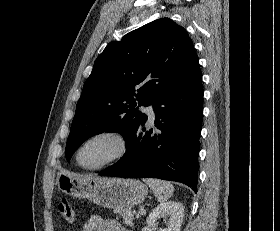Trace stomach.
Masks as SVG:
<instances>
[{
	"mask_svg": "<svg viewBox=\"0 0 280 231\" xmlns=\"http://www.w3.org/2000/svg\"><path fill=\"white\" fill-rule=\"evenodd\" d=\"M56 183L66 195L84 197L102 207L119 209L132 207L144 201L148 187L138 179H122V177H92L78 175L71 171H59Z\"/></svg>",
	"mask_w": 280,
	"mask_h": 231,
	"instance_id": "stomach-1",
	"label": "stomach"
}]
</instances>
